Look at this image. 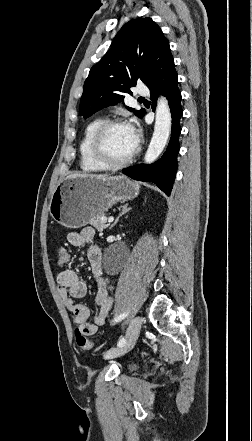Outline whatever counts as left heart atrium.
Instances as JSON below:
<instances>
[{
	"label": "left heart atrium",
	"instance_id": "left-heart-atrium-1",
	"mask_svg": "<svg viewBox=\"0 0 252 441\" xmlns=\"http://www.w3.org/2000/svg\"><path fill=\"white\" fill-rule=\"evenodd\" d=\"M126 126H127L128 130H129V135H130L131 142L136 147L137 143H138V140H139L138 132H137V130H136V128H135V126L133 124H129V125H126Z\"/></svg>",
	"mask_w": 252,
	"mask_h": 441
}]
</instances>
